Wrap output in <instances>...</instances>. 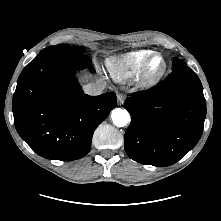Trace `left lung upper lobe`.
Returning <instances> with one entry per match:
<instances>
[{
    "mask_svg": "<svg viewBox=\"0 0 221 221\" xmlns=\"http://www.w3.org/2000/svg\"><path fill=\"white\" fill-rule=\"evenodd\" d=\"M187 66L186 63L180 59H178L177 57L174 58L173 60V65H172V70L181 68Z\"/></svg>",
    "mask_w": 221,
    "mask_h": 221,
    "instance_id": "obj_1",
    "label": "left lung upper lobe"
}]
</instances>
